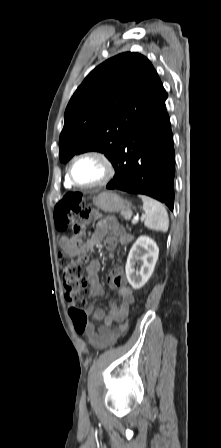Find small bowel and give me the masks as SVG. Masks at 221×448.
I'll use <instances>...</instances> for the list:
<instances>
[{
	"mask_svg": "<svg viewBox=\"0 0 221 448\" xmlns=\"http://www.w3.org/2000/svg\"><path fill=\"white\" fill-rule=\"evenodd\" d=\"M132 240V234L120 226L115 219L98 216L94 233L85 244L78 235L71 239L64 236L60 239L59 244L60 248L66 254L86 258L87 251L101 242H104L105 247L109 251H114L118 247L123 248ZM99 270L100 262L98 260H91L86 267L89 293L92 297L104 294V289L97 277ZM108 284L110 287L116 289L117 295L116 300L110 301L108 312L105 313L103 309L95 308L93 305H89L86 308V313L91 315L92 321H88L85 333L88 341L96 348H106L117 341L120 335L126 330L125 325L127 326V323L120 324L116 327H112V324L113 322L125 321L128 318L130 307L135 301L133 290L126 285L120 267L113 270L108 278ZM95 322L100 323L98 328L95 327Z\"/></svg>",
	"mask_w": 221,
	"mask_h": 448,
	"instance_id": "1",
	"label": "small bowel"
}]
</instances>
